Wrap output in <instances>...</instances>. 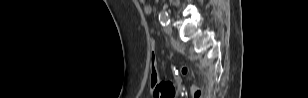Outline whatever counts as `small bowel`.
Returning a JSON list of instances; mask_svg holds the SVG:
<instances>
[{
  "mask_svg": "<svg viewBox=\"0 0 308 98\" xmlns=\"http://www.w3.org/2000/svg\"><path fill=\"white\" fill-rule=\"evenodd\" d=\"M140 5L142 7V10L145 14H150L152 11V7L150 3L147 0H140ZM174 85V84H173Z\"/></svg>",
  "mask_w": 308,
  "mask_h": 98,
  "instance_id": "small-bowel-1",
  "label": "small bowel"
}]
</instances>
